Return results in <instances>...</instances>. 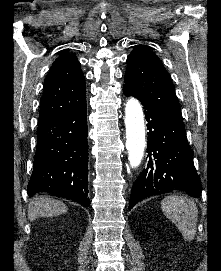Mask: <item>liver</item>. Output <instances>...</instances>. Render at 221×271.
<instances>
[{"label":"liver","instance_id":"obj_1","mask_svg":"<svg viewBox=\"0 0 221 271\" xmlns=\"http://www.w3.org/2000/svg\"><path fill=\"white\" fill-rule=\"evenodd\" d=\"M68 207L60 201V199H52V197H36L28 205V219H36V217H51V215H61L65 213Z\"/></svg>","mask_w":221,"mask_h":271}]
</instances>
